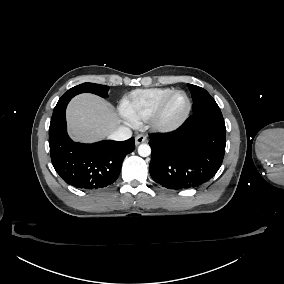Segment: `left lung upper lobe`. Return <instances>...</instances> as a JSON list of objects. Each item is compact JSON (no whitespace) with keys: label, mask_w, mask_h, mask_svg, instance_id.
<instances>
[{"label":"left lung upper lobe","mask_w":284,"mask_h":284,"mask_svg":"<svg viewBox=\"0 0 284 284\" xmlns=\"http://www.w3.org/2000/svg\"><path fill=\"white\" fill-rule=\"evenodd\" d=\"M189 90L191 91L193 98V112H197L201 109L207 107H216L218 106L215 100L211 97V95L201 87L187 84Z\"/></svg>","instance_id":"1"}]
</instances>
